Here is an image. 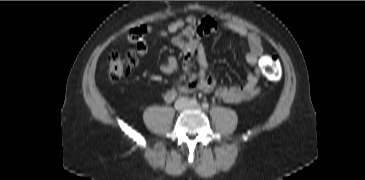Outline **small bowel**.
Instances as JSON below:
<instances>
[{
	"label": "small bowel",
	"instance_id": "obj_1",
	"mask_svg": "<svg viewBox=\"0 0 365 180\" xmlns=\"http://www.w3.org/2000/svg\"><path fill=\"white\" fill-rule=\"evenodd\" d=\"M229 31L239 37L244 38L248 44V51L245 58L249 65L254 67V72L248 74L243 84L224 85L217 87V77L207 72L208 61L205 55L203 39L214 33L218 29V24L211 18L200 19L189 16L178 18L172 21L165 29L155 33L156 37L167 38L172 36V44L178 47L185 61L182 67L183 79L186 83L182 85L185 91H204L209 92L215 89L218 98L228 103H238L249 100L260 92L259 80V58L263 53V42L259 34L251 32L239 25H228ZM140 56H145L148 52L146 41L137 45ZM161 70L167 74H175L179 71V62L175 56H168L160 66ZM175 92L169 90L164 99L170 102L174 99Z\"/></svg>",
	"mask_w": 365,
	"mask_h": 180
}]
</instances>
